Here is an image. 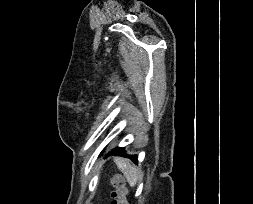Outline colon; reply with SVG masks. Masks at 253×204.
Masks as SVG:
<instances>
[{"mask_svg":"<svg viewBox=\"0 0 253 204\" xmlns=\"http://www.w3.org/2000/svg\"><path fill=\"white\" fill-rule=\"evenodd\" d=\"M111 183L113 190L110 193V204H128L121 178L119 176H113Z\"/></svg>","mask_w":253,"mask_h":204,"instance_id":"obj_1","label":"colon"}]
</instances>
